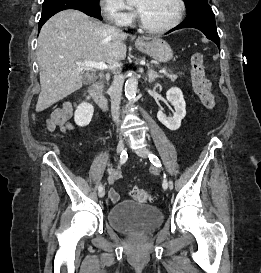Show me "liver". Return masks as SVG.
<instances>
[{"instance_id": "obj_1", "label": "liver", "mask_w": 261, "mask_h": 273, "mask_svg": "<svg viewBox=\"0 0 261 273\" xmlns=\"http://www.w3.org/2000/svg\"><path fill=\"white\" fill-rule=\"evenodd\" d=\"M128 37L115 27L105 25L73 9L52 16L38 37L37 61L41 92L36 111L41 112L79 90L94 73L76 62H104L111 69L126 57L124 40Z\"/></svg>"}]
</instances>
